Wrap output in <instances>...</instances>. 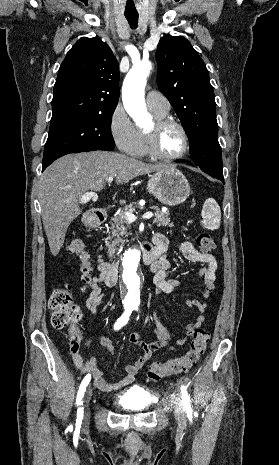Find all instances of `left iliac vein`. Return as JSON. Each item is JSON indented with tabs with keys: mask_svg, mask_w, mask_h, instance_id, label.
<instances>
[{
	"mask_svg": "<svg viewBox=\"0 0 279 465\" xmlns=\"http://www.w3.org/2000/svg\"><path fill=\"white\" fill-rule=\"evenodd\" d=\"M175 417L180 425L186 423L184 403L180 396H177L175 401Z\"/></svg>",
	"mask_w": 279,
	"mask_h": 465,
	"instance_id": "left-iliac-vein-1",
	"label": "left iliac vein"
}]
</instances>
